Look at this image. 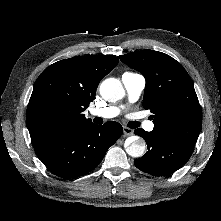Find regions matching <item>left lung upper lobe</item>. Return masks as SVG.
<instances>
[{
  "label": "left lung upper lobe",
  "instance_id": "obj_1",
  "mask_svg": "<svg viewBox=\"0 0 221 221\" xmlns=\"http://www.w3.org/2000/svg\"><path fill=\"white\" fill-rule=\"evenodd\" d=\"M120 60L146 79L143 106L153 113V132L195 146L202 112L183 66L169 55L149 49L120 55Z\"/></svg>",
  "mask_w": 221,
  "mask_h": 221
}]
</instances>
